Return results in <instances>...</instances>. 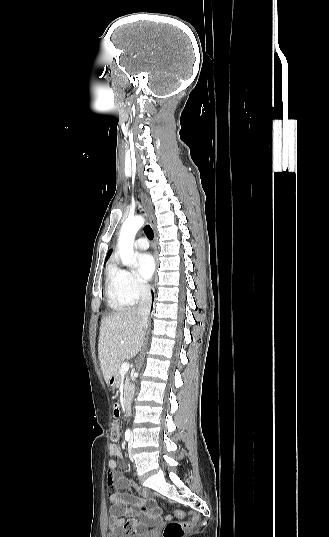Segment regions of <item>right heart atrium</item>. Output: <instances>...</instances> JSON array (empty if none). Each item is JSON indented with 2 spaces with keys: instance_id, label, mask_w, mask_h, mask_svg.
Segmentation results:
<instances>
[{
  "instance_id": "right-heart-atrium-1",
  "label": "right heart atrium",
  "mask_w": 329,
  "mask_h": 537,
  "mask_svg": "<svg viewBox=\"0 0 329 537\" xmlns=\"http://www.w3.org/2000/svg\"><path fill=\"white\" fill-rule=\"evenodd\" d=\"M115 275L118 289L131 302H137L148 294V286L135 272L116 269Z\"/></svg>"
}]
</instances>
